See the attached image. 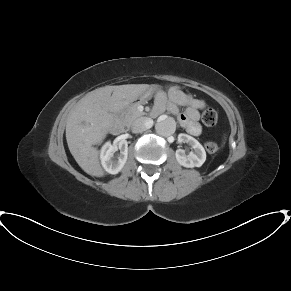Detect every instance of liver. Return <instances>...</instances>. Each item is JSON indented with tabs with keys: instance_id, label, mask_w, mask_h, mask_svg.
Returning a JSON list of instances; mask_svg holds the SVG:
<instances>
[{
	"instance_id": "obj_1",
	"label": "liver",
	"mask_w": 291,
	"mask_h": 291,
	"mask_svg": "<svg viewBox=\"0 0 291 291\" xmlns=\"http://www.w3.org/2000/svg\"><path fill=\"white\" fill-rule=\"evenodd\" d=\"M150 87L148 84L105 86L86 94L70 111L66 123V140L70 153L89 175L103 177L99 151L114 123L113 112L127 107Z\"/></svg>"
}]
</instances>
